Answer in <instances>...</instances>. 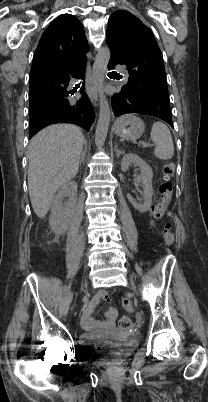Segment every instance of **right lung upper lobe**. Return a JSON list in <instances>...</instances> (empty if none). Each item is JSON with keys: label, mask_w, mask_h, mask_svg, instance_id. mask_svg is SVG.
<instances>
[{"label": "right lung upper lobe", "mask_w": 208, "mask_h": 402, "mask_svg": "<svg viewBox=\"0 0 208 402\" xmlns=\"http://www.w3.org/2000/svg\"><path fill=\"white\" fill-rule=\"evenodd\" d=\"M89 50L82 23L71 14L58 16L39 41L31 75L70 73L76 61Z\"/></svg>", "instance_id": "1"}]
</instances>
